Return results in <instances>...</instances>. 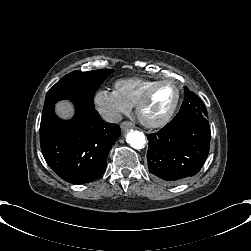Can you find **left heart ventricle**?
I'll return each instance as SVG.
<instances>
[{
  "label": "left heart ventricle",
  "mask_w": 251,
  "mask_h": 251,
  "mask_svg": "<svg viewBox=\"0 0 251 251\" xmlns=\"http://www.w3.org/2000/svg\"><path fill=\"white\" fill-rule=\"evenodd\" d=\"M179 89L174 82H164L153 92L143 115L149 121H159L164 118L176 105Z\"/></svg>",
  "instance_id": "b2bd125f"
}]
</instances>
